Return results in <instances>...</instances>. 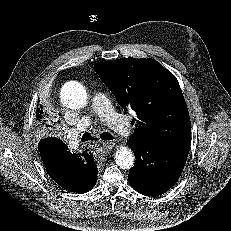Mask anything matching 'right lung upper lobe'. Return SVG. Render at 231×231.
<instances>
[{"instance_id": "obj_1", "label": "right lung upper lobe", "mask_w": 231, "mask_h": 231, "mask_svg": "<svg viewBox=\"0 0 231 231\" xmlns=\"http://www.w3.org/2000/svg\"><path fill=\"white\" fill-rule=\"evenodd\" d=\"M36 120L39 123V128L43 129L46 125V113L44 112L42 105L38 106L36 109ZM77 158H82L76 154L70 155L69 159H66L62 162V164L59 166L58 172L61 173L63 176V179L65 182L72 181V167L75 165V160Z\"/></svg>"}]
</instances>
